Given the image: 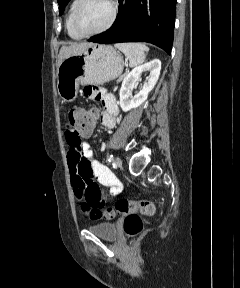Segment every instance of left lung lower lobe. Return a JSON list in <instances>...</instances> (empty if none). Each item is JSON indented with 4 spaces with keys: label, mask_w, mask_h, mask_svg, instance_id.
Instances as JSON below:
<instances>
[{
    "label": "left lung lower lobe",
    "mask_w": 240,
    "mask_h": 288,
    "mask_svg": "<svg viewBox=\"0 0 240 288\" xmlns=\"http://www.w3.org/2000/svg\"><path fill=\"white\" fill-rule=\"evenodd\" d=\"M111 28L89 39L95 43L149 42L171 52L176 0H118Z\"/></svg>",
    "instance_id": "0a47b994"
}]
</instances>
